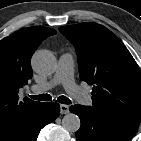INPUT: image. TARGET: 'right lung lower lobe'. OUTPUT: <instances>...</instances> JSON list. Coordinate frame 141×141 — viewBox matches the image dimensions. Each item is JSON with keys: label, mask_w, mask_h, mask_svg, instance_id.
<instances>
[{"label": "right lung lower lobe", "mask_w": 141, "mask_h": 141, "mask_svg": "<svg viewBox=\"0 0 141 141\" xmlns=\"http://www.w3.org/2000/svg\"><path fill=\"white\" fill-rule=\"evenodd\" d=\"M59 113V104L40 103L0 133V141H37L40 130L54 121Z\"/></svg>", "instance_id": "right-lung-lower-lobe-1"}]
</instances>
